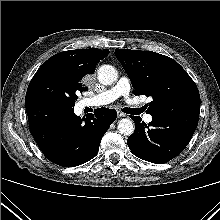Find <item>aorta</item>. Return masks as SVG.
<instances>
[{
    "instance_id": "1",
    "label": "aorta",
    "mask_w": 220,
    "mask_h": 220,
    "mask_svg": "<svg viewBox=\"0 0 220 220\" xmlns=\"http://www.w3.org/2000/svg\"><path fill=\"white\" fill-rule=\"evenodd\" d=\"M97 77L101 84L111 85L118 79L117 70L111 65H102L97 71ZM135 126L132 120L125 118L118 122V131L120 134L130 136L134 133Z\"/></svg>"
}]
</instances>
